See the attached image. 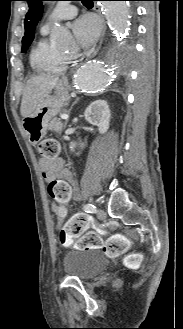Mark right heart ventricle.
Returning <instances> with one entry per match:
<instances>
[{
	"label": "right heart ventricle",
	"mask_w": 183,
	"mask_h": 329,
	"mask_svg": "<svg viewBox=\"0 0 183 329\" xmlns=\"http://www.w3.org/2000/svg\"><path fill=\"white\" fill-rule=\"evenodd\" d=\"M46 33L42 31V37L32 48L30 65L33 70L39 73L58 74L67 68L63 59L65 54L45 38Z\"/></svg>",
	"instance_id": "1"
}]
</instances>
